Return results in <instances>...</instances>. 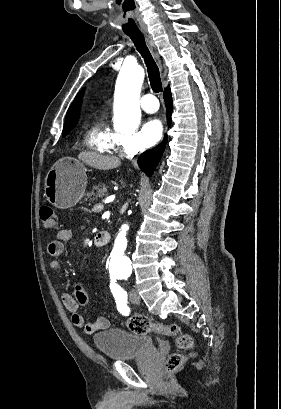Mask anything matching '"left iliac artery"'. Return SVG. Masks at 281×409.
<instances>
[{
    "label": "left iliac artery",
    "mask_w": 281,
    "mask_h": 409,
    "mask_svg": "<svg viewBox=\"0 0 281 409\" xmlns=\"http://www.w3.org/2000/svg\"><path fill=\"white\" fill-rule=\"evenodd\" d=\"M110 289H111V292L113 293V296H114V298L116 300V305H117L118 311L122 315H125V316L129 315L130 309H129L128 305H127V293L121 286L116 284V279L115 278H111Z\"/></svg>",
    "instance_id": "obj_1"
}]
</instances>
